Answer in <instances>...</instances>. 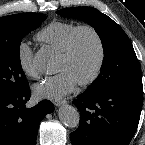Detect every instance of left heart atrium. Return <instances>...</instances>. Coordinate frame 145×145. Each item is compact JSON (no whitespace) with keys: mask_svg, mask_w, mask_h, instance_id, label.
Masks as SVG:
<instances>
[{"mask_svg":"<svg viewBox=\"0 0 145 145\" xmlns=\"http://www.w3.org/2000/svg\"><path fill=\"white\" fill-rule=\"evenodd\" d=\"M78 84L76 78L67 70L48 77L39 85L33 88L37 98L60 99L73 92Z\"/></svg>","mask_w":145,"mask_h":145,"instance_id":"obj_1","label":"left heart atrium"}]
</instances>
